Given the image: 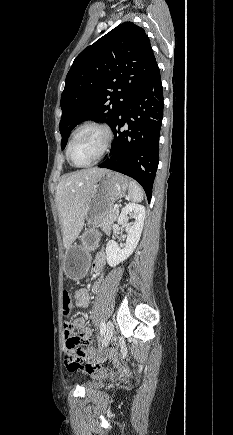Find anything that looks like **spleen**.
Masks as SVG:
<instances>
[{"instance_id":"1","label":"spleen","mask_w":233,"mask_h":435,"mask_svg":"<svg viewBox=\"0 0 233 435\" xmlns=\"http://www.w3.org/2000/svg\"><path fill=\"white\" fill-rule=\"evenodd\" d=\"M144 193L142 188L134 180L129 182L128 198L133 202H141L143 200Z\"/></svg>"}]
</instances>
